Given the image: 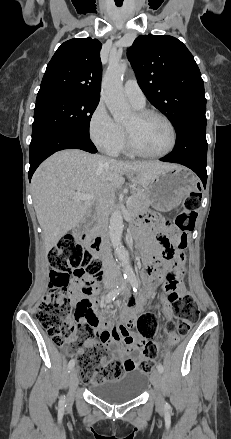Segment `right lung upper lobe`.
<instances>
[{"instance_id": "1", "label": "right lung upper lobe", "mask_w": 231, "mask_h": 439, "mask_svg": "<svg viewBox=\"0 0 231 439\" xmlns=\"http://www.w3.org/2000/svg\"><path fill=\"white\" fill-rule=\"evenodd\" d=\"M101 43L92 38L64 42L47 65L36 100L56 95L100 99Z\"/></svg>"}]
</instances>
